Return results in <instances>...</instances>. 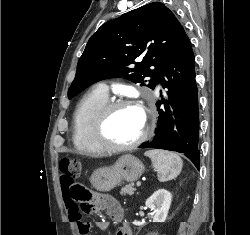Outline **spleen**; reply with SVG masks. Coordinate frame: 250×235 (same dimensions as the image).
<instances>
[{"instance_id":"obj_1","label":"spleen","mask_w":250,"mask_h":235,"mask_svg":"<svg viewBox=\"0 0 250 235\" xmlns=\"http://www.w3.org/2000/svg\"><path fill=\"white\" fill-rule=\"evenodd\" d=\"M145 156L151 159L160 182L173 180L182 170L183 161L173 152L153 149L146 151Z\"/></svg>"}]
</instances>
